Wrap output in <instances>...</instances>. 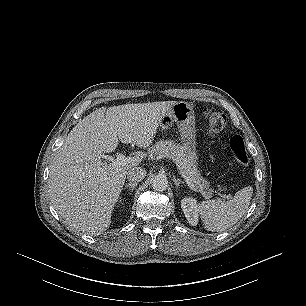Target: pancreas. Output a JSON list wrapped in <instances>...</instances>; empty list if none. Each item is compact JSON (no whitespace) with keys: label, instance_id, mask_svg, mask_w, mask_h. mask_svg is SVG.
I'll use <instances>...</instances> for the list:
<instances>
[{"label":"pancreas","instance_id":"1","mask_svg":"<svg viewBox=\"0 0 306 306\" xmlns=\"http://www.w3.org/2000/svg\"><path fill=\"white\" fill-rule=\"evenodd\" d=\"M149 153L172 159L204 197H211L213 191L207 190L209 182L201 176L193 156L183 146L173 140H160L149 149Z\"/></svg>","mask_w":306,"mask_h":306}]
</instances>
